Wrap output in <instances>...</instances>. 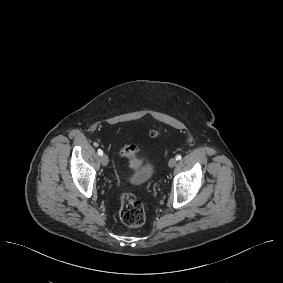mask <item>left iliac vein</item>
Wrapping results in <instances>:
<instances>
[{
	"label": "left iliac vein",
	"mask_w": 283,
	"mask_h": 283,
	"mask_svg": "<svg viewBox=\"0 0 283 283\" xmlns=\"http://www.w3.org/2000/svg\"><path fill=\"white\" fill-rule=\"evenodd\" d=\"M177 164L176 158H171L168 162L169 167L173 168Z\"/></svg>",
	"instance_id": "left-iliac-vein-1"
}]
</instances>
